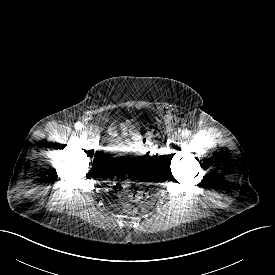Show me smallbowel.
<instances>
[{"mask_svg":"<svg viewBox=\"0 0 275 275\" xmlns=\"http://www.w3.org/2000/svg\"><path fill=\"white\" fill-rule=\"evenodd\" d=\"M121 132L124 137H131L132 139L137 138V128L131 122H126L121 124ZM117 131L115 128H111L109 132V137L112 139H116Z\"/></svg>","mask_w":275,"mask_h":275,"instance_id":"small-bowel-1","label":"small bowel"}]
</instances>
